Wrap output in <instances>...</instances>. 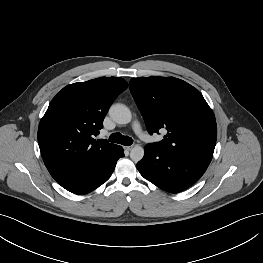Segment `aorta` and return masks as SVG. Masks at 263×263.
I'll return each mask as SVG.
<instances>
[{
	"mask_svg": "<svg viewBox=\"0 0 263 263\" xmlns=\"http://www.w3.org/2000/svg\"><path fill=\"white\" fill-rule=\"evenodd\" d=\"M110 117L118 124H128L132 119L129 108L124 104H113L109 110ZM144 156V149L139 145H135L130 152V158L135 163L139 162Z\"/></svg>",
	"mask_w": 263,
	"mask_h": 263,
	"instance_id": "762f6f07",
	"label": "aorta"
}]
</instances>
